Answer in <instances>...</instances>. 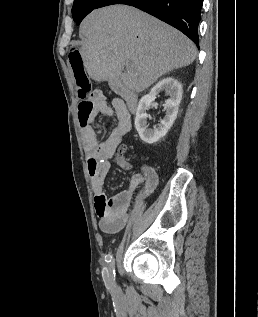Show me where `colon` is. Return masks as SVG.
I'll return each mask as SVG.
<instances>
[{
	"instance_id": "5ec220e1",
	"label": "colon",
	"mask_w": 258,
	"mask_h": 317,
	"mask_svg": "<svg viewBox=\"0 0 258 317\" xmlns=\"http://www.w3.org/2000/svg\"><path fill=\"white\" fill-rule=\"evenodd\" d=\"M68 58L75 76L78 97L81 101H86L91 92L92 84L84 67L82 55L79 49L76 47L71 48L68 53ZM126 150L127 147L125 145H121L118 147L115 154V161L121 166L128 165L125 157Z\"/></svg>"
}]
</instances>
